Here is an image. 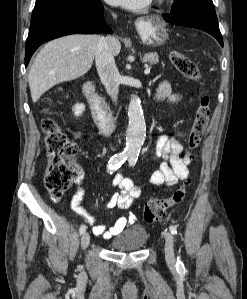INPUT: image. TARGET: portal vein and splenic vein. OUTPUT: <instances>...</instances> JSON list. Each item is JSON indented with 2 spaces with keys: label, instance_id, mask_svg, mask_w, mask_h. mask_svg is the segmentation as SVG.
<instances>
[{
  "label": "portal vein and splenic vein",
  "instance_id": "obj_1",
  "mask_svg": "<svg viewBox=\"0 0 247 299\" xmlns=\"http://www.w3.org/2000/svg\"><path fill=\"white\" fill-rule=\"evenodd\" d=\"M144 73H145L146 75L150 73V69L148 68V66H146V69H145Z\"/></svg>",
  "mask_w": 247,
  "mask_h": 299
}]
</instances>
